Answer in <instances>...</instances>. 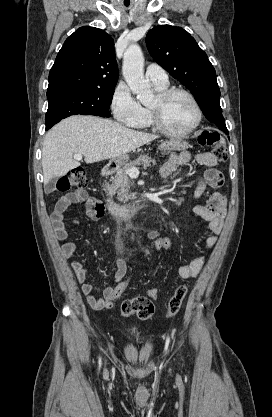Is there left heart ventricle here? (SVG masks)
I'll use <instances>...</instances> for the list:
<instances>
[{"label": "left heart ventricle", "mask_w": 272, "mask_h": 417, "mask_svg": "<svg viewBox=\"0 0 272 417\" xmlns=\"http://www.w3.org/2000/svg\"><path fill=\"white\" fill-rule=\"evenodd\" d=\"M158 104V98H156L151 107H156ZM161 116L168 128L180 132L189 129L193 125L196 119V111L186 96L176 95L162 106Z\"/></svg>", "instance_id": "b2bd125f"}]
</instances>
